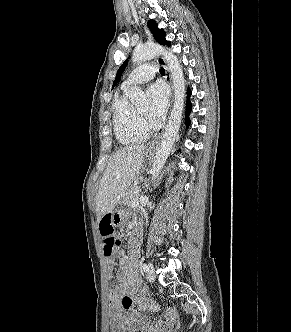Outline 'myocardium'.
<instances>
[{"label":"myocardium","instance_id":"myocardium-1","mask_svg":"<svg viewBox=\"0 0 291 332\" xmlns=\"http://www.w3.org/2000/svg\"><path fill=\"white\" fill-rule=\"evenodd\" d=\"M136 115H137L140 123H142L143 125H145L144 115L142 113H140L137 109H136Z\"/></svg>","mask_w":291,"mask_h":332}]
</instances>
